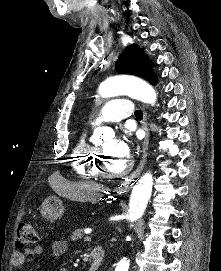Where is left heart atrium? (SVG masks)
Wrapping results in <instances>:
<instances>
[{
    "label": "left heart atrium",
    "instance_id": "obj_1",
    "mask_svg": "<svg viewBox=\"0 0 221 271\" xmlns=\"http://www.w3.org/2000/svg\"><path fill=\"white\" fill-rule=\"evenodd\" d=\"M119 147H130V142H119ZM130 148H111L110 157H129Z\"/></svg>",
    "mask_w": 221,
    "mask_h": 271
}]
</instances>
